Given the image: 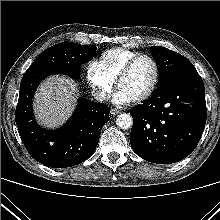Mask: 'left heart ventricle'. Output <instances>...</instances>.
I'll use <instances>...</instances> for the list:
<instances>
[{
    "label": "left heart ventricle",
    "mask_w": 220,
    "mask_h": 220,
    "mask_svg": "<svg viewBox=\"0 0 220 220\" xmlns=\"http://www.w3.org/2000/svg\"><path fill=\"white\" fill-rule=\"evenodd\" d=\"M154 75L152 63L142 58L136 62L131 71L123 77L118 87L128 93L133 99L143 94L150 86Z\"/></svg>",
    "instance_id": "1"
}]
</instances>
